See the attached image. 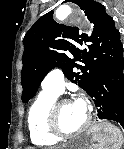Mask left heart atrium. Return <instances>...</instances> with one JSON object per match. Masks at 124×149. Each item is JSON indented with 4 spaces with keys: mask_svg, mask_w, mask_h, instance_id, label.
Here are the masks:
<instances>
[{
    "mask_svg": "<svg viewBox=\"0 0 124 149\" xmlns=\"http://www.w3.org/2000/svg\"><path fill=\"white\" fill-rule=\"evenodd\" d=\"M73 102L77 104L78 106H80L81 108L87 109L86 101L84 100L82 96H78L77 98H75Z\"/></svg>",
    "mask_w": 124,
    "mask_h": 149,
    "instance_id": "obj_1",
    "label": "left heart atrium"
}]
</instances>
